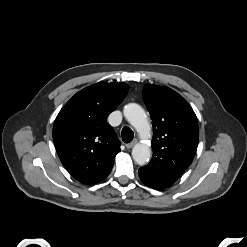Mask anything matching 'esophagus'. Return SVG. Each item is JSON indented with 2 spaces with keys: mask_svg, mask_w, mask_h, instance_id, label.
I'll list each match as a JSON object with an SVG mask.
<instances>
[{
  "mask_svg": "<svg viewBox=\"0 0 247 247\" xmlns=\"http://www.w3.org/2000/svg\"><path fill=\"white\" fill-rule=\"evenodd\" d=\"M138 140L134 139L131 143L126 144L127 149H131L133 146L137 144Z\"/></svg>",
  "mask_w": 247,
  "mask_h": 247,
  "instance_id": "1",
  "label": "esophagus"
}]
</instances>
